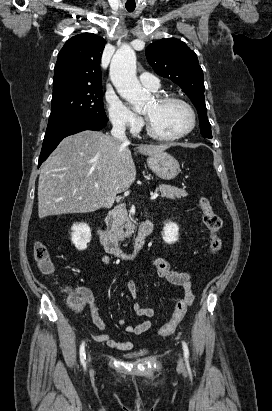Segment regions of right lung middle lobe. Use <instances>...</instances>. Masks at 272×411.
I'll use <instances>...</instances> for the list:
<instances>
[{
	"label": "right lung middle lobe",
	"mask_w": 272,
	"mask_h": 411,
	"mask_svg": "<svg viewBox=\"0 0 272 411\" xmlns=\"http://www.w3.org/2000/svg\"><path fill=\"white\" fill-rule=\"evenodd\" d=\"M102 86L70 88L54 93L46 131L78 119L108 121Z\"/></svg>",
	"instance_id": "dd1d6c3e"
}]
</instances>
